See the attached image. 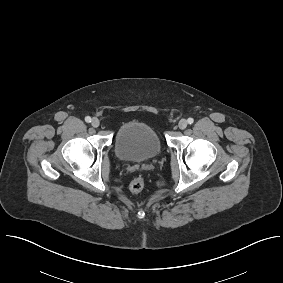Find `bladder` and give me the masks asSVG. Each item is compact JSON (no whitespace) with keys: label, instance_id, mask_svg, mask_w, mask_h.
Returning <instances> with one entry per match:
<instances>
[{"label":"bladder","instance_id":"bladder-1","mask_svg":"<svg viewBox=\"0 0 283 283\" xmlns=\"http://www.w3.org/2000/svg\"><path fill=\"white\" fill-rule=\"evenodd\" d=\"M114 151L117 158L124 162H145L161 153L162 142L151 124L132 121L118 131Z\"/></svg>","mask_w":283,"mask_h":283}]
</instances>
